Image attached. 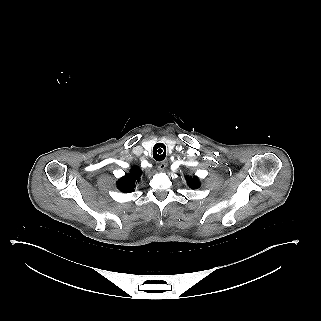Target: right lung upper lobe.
Here are the masks:
<instances>
[{
    "label": "right lung upper lobe",
    "instance_id": "obj_1",
    "mask_svg": "<svg viewBox=\"0 0 321 321\" xmlns=\"http://www.w3.org/2000/svg\"><path fill=\"white\" fill-rule=\"evenodd\" d=\"M141 175L142 171L137 166L132 167L129 174L118 180V189L123 193L133 192Z\"/></svg>",
    "mask_w": 321,
    "mask_h": 321
}]
</instances>
